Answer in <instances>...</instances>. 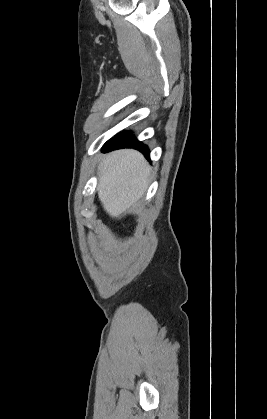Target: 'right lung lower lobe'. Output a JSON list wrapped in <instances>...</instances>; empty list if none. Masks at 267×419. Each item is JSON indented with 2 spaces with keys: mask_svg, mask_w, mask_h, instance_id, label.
Returning a JSON list of instances; mask_svg holds the SVG:
<instances>
[{
  "mask_svg": "<svg viewBox=\"0 0 267 419\" xmlns=\"http://www.w3.org/2000/svg\"><path fill=\"white\" fill-rule=\"evenodd\" d=\"M120 148H134L144 154L145 157L149 158V149L146 145L139 142L136 138L131 135L130 131L123 132L111 140L107 141L103 146V151H110Z\"/></svg>",
  "mask_w": 267,
  "mask_h": 419,
  "instance_id": "1",
  "label": "right lung lower lobe"
}]
</instances>
